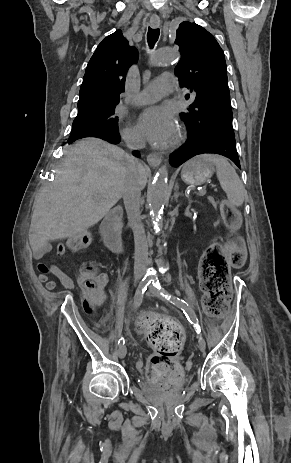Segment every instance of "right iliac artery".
Returning <instances> with one entry per match:
<instances>
[{
    "label": "right iliac artery",
    "mask_w": 291,
    "mask_h": 463,
    "mask_svg": "<svg viewBox=\"0 0 291 463\" xmlns=\"http://www.w3.org/2000/svg\"><path fill=\"white\" fill-rule=\"evenodd\" d=\"M152 278L149 277V276H145L142 281L140 282L138 288H137V291H136V294H135V298H134V305L135 307H139L140 304L142 303V299H143V294L144 292L146 291L148 285L150 284ZM125 341L123 338L119 339L118 341V345H124Z\"/></svg>",
    "instance_id": "82829eb1"
}]
</instances>
